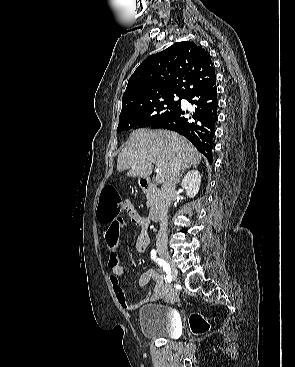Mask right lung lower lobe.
I'll list each match as a JSON object with an SVG mask.
<instances>
[{"instance_id":"98d812e1","label":"right lung lower lobe","mask_w":295,"mask_h":367,"mask_svg":"<svg viewBox=\"0 0 295 367\" xmlns=\"http://www.w3.org/2000/svg\"><path fill=\"white\" fill-rule=\"evenodd\" d=\"M184 98L195 105L194 112L189 113L180 107L150 128L169 129L185 136L211 163L215 124L218 119L216 78L207 85L190 92Z\"/></svg>"}]
</instances>
